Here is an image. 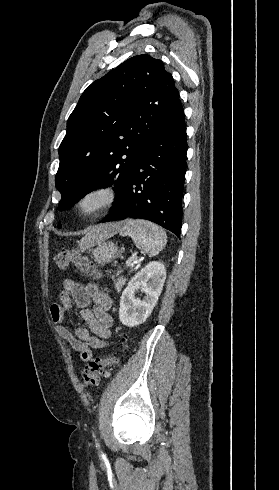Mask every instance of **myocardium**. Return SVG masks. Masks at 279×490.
<instances>
[{"mask_svg":"<svg viewBox=\"0 0 279 490\" xmlns=\"http://www.w3.org/2000/svg\"><path fill=\"white\" fill-rule=\"evenodd\" d=\"M117 199L118 191L113 184L94 181L81 188L74 209L78 216L89 218L112 207Z\"/></svg>","mask_w":279,"mask_h":490,"instance_id":"f54148a6","label":"myocardium"}]
</instances>
